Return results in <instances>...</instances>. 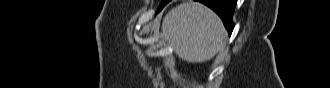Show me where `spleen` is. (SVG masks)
<instances>
[{"label":"spleen","instance_id":"obj_1","mask_svg":"<svg viewBox=\"0 0 330 88\" xmlns=\"http://www.w3.org/2000/svg\"><path fill=\"white\" fill-rule=\"evenodd\" d=\"M162 36L179 58L192 63L209 61L225 46L220 18L194 1L181 3L168 12L162 23Z\"/></svg>","mask_w":330,"mask_h":88}]
</instances>
